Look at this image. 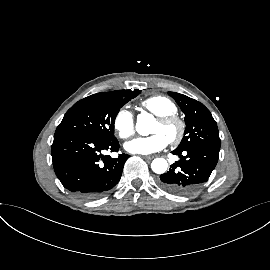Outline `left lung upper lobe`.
<instances>
[{
  "label": "left lung upper lobe",
  "instance_id": "left-lung-upper-lobe-1",
  "mask_svg": "<svg viewBox=\"0 0 270 270\" xmlns=\"http://www.w3.org/2000/svg\"><path fill=\"white\" fill-rule=\"evenodd\" d=\"M168 94L177 102L185 114L186 129L177 149L193 146H209L220 149L217 123L210 111L200 102L176 92Z\"/></svg>",
  "mask_w": 270,
  "mask_h": 270
}]
</instances>
